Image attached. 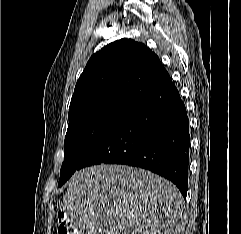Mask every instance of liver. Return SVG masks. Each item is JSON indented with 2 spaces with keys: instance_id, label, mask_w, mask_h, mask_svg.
Masks as SVG:
<instances>
[{
  "instance_id": "6515ba94",
  "label": "liver",
  "mask_w": 241,
  "mask_h": 234,
  "mask_svg": "<svg viewBox=\"0 0 241 234\" xmlns=\"http://www.w3.org/2000/svg\"><path fill=\"white\" fill-rule=\"evenodd\" d=\"M61 209L77 234H179L184 201L170 181L126 165H96L68 182Z\"/></svg>"
}]
</instances>
